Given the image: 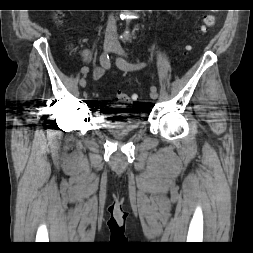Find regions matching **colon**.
<instances>
[{
	"mask_svg": "<svg viewBox=\"0 0 253 253\" xmlns=\"http://www.w3.org/2000/svg\"><path fill=\"white\" fill-rule=\"evenodd\" d=\"M57 21L59 23L62 22V19L60 16H58ZM204 23H205L204 30L212 27L215 24V17L213 15L206 16L204 19ZM115 99L120 103L130 104L137 99V95L135 94L130 95L124 92H118L115 96Z\"/></svg>",
	"mask_w": 253,
	"mask_h": 253,
	"instance_id": "5ec220e1",
	"label": "colon"
}]
</instances>
